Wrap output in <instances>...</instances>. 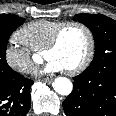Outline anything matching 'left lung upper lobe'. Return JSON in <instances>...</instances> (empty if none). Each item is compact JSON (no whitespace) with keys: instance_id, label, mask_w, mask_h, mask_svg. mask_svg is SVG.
I'll list each match as a JSON object with an SVG mask.
<instances>
[{"instance_id":"5c2ea615","label":"left lung upper lobe","mask_w":116,"mask_h":116,"mask_svg":"<svg viewBox=\"0 0 116 116\" xmlns=\"http://www.w3.org/2000/svg\"><path fill=\"white\" fill-rule=\"evenodd\" d=\"M86 25L95 40V55L84 71L116 70V21L102 14H77L73 18Z\"/></svg>"}]
</instances>
